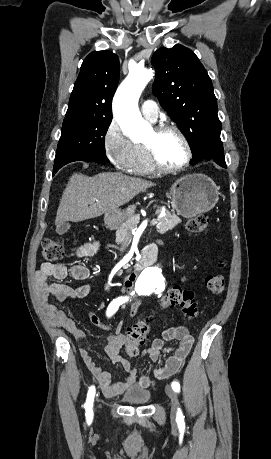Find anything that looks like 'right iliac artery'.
<instances>
[{
    "mask_svg": "<svg viewBox=\"0 0 271 459\" xmlns=\"http://www.w3.org/2000/svg\"><path fill=\"white\" fill-rule=\"evenodd\" d=\"M126 301H127V298H124V297H119V298L114 299L107 308V316L108 317L112 316L118 310L119 306ZM94 396H95V387L91 386L89 388L86 403L84 405L86 409L85 415L87 418V423H91L93 419L92 407H93Z\"/></svg>",
    "mask_w": 271,
    "mask_h": 459,
    "instance_id": "82829eb1",
    "label": "right iliac artery"
}]
</instances>
